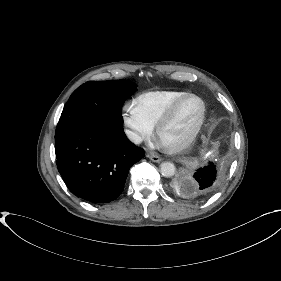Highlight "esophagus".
Segmentation results:
<instances>
[{"label":"esophagus","instance_id":"esophagus-1","mask_svg":"<svg viewBox=\"0 0 281 281\" xmlns=\"http://www.w3.org/2000/svg\"><path fill=\"white\" fill-rule=\"evenodd\" d=\"M153 162H160L162 158L156 154L150 153L147 155Z\"/></svg>","mask_w":281,"mask_h":281}]
</instances>
